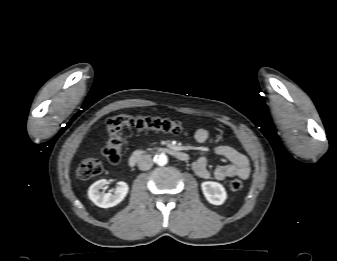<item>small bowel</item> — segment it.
<instances>
[{
  "label": "small bowel",
  "mask_w": 337,
  "mask_h": 261,
  "mask_svg": "<svg viewBox=\"0 0 337 261\" xmlns=\"http://www.w3.org/2000/svg\"><path fill=\"white\" fill-rule=\"evenodd\" d=\"M194 137L197 142L204 143L209 138V131L205 128H200L195 132ZM210 154L222 157L229 163L218 165L213 171H210L208 168V157L201 156L192 163V168L198 177L202 179L213 177L219 181L232 177L241 179H247L249 177L251 171L249 160L246 155L235 148L227 145H220L211 149Z\"/></svg>",
  "instance_id": "1"
}]
</instances>
